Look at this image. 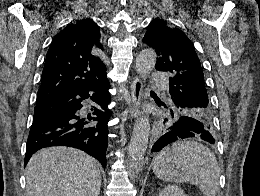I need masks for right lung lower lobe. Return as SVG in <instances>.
<instances>
[{
	"instance_id": "98d812e1",
	"label": "right lung lower lobe",
	"mask_w": 260,
	"mask_h": 196,
	"mask_svg": "<svg viewBox=\"0 0 260 196\" xmlns=\"http://www.w3.org/2000/svg\"><path fill=\"white\" fill-rule=\"evenodd\" d=\"M110 83L106 78L95 83L68 92L58 98L41 105L35 110L50 113L57 117L36 125H32L27 140L24 160L26 166L30 157L37 150L50 146H70L85 151L106 167V150L108 121L111 113L107 109L110 101ZM91 100L97 104L92 107V116L81 114L83 100Z\"/></svg>"
}]
</instances>
